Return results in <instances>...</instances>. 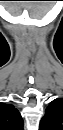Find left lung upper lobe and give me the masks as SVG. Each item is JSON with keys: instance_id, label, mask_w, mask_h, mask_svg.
Masks as SVG:
<instances>
[{"instance_id": "left-lung-upper-lobe-1", "label": "left lung upper lobe", "mask_w": 63, "mask_h": 130, "mask_svg": "<svg viewBox=\"0 0 63 130\" xmlns=\"http://www.w3.org/2000/svg\"><path fill=\"white\" fill-rule=\"evenodd\" d=\"M40 130H63V99L49 103L40 123Z\"/></svg>"}]
</instances>
